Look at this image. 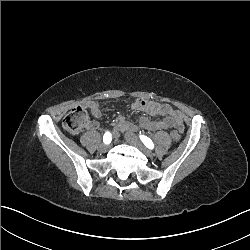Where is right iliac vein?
Listing matches in <instances>:
<instances>
[{"label": "right iliac vein", "mask_w": 250, "mask_h": 250, "mask_svg": "<svg viewBox=\"0 0 250 250\" xmlns=\"http://www.w3.org/2000/svg\"><path fill=\"white\" fill-rule=\"evenodd\" d=\"M108 144H100L99 149L101 152H106L108 150Z\"/></svg>", "instance_id": "63e3f726"}]
</instances>
